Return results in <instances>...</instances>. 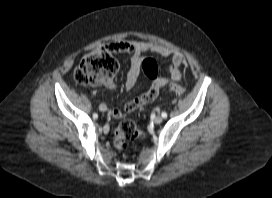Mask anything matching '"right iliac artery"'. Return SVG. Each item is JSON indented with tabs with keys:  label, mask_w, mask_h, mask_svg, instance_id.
Instances as JSON below:
<instances>
[{
	"label": "right iliac artery",
	"mask_w": 272,
	"mask_h": 198,
	"mask_svg": "<svg viewBox=\"0 0 272 198\" xmlns=\"http://www.w3.org/2000/svg\"><path fill=\"white\" fill-rule=\"evenodd\" d=\"M97 117H98V115H97V114H93V118H95V119H96Z\"/></svg>",
	"instance_id": "obj_1"
}]
</instances>
